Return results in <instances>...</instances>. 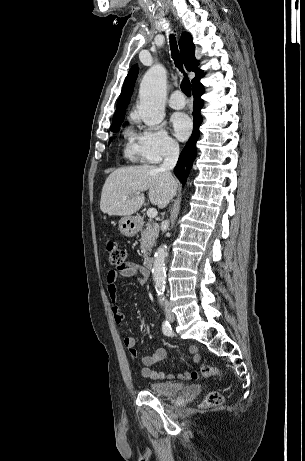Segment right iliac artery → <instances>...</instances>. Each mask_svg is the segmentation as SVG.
<instances>
[{
  "label": "right iliac artery",
  "instance_id": "obj_1",
  "mask_svg": "<svg viewBox=\"0 0 305 461\" xmlns=\"http://www.w3.org/2000/svg\"><path fill=\"white\" fill-rule=\"evenodd\" d=\"M160 301H161V304H162L163 300H160ZM162 331H163L164 335H166V336H172L173 335V330L171 328L170 323L167 320L164 321L163 324H162Z\"/></svg>",
  "mask_w": 305,
  "mask_h": 461
}]
</instances>
